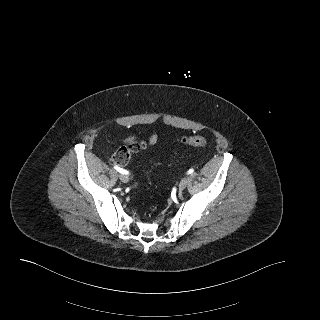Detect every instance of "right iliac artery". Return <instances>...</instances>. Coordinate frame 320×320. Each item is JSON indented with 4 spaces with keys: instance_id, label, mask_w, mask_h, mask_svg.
Segmentation results:
<instances>
[{
    "instance_id": "right-iliac-artery-1",
    "label": "right iliac artery",
    "mask_w": 320,
    "mask_h": 320,
    "mask_svg": "<svg viewBox=\"0 0 320 320\" xmlns=\"http://www.w3.org/2000/svg\"><path fill=\"white\" fill-rule=\"evenodd\" d=\"M114 169H116L121 174H128L127 170H124V169L118 167L117 165H114Z\"/></svg>"
}]
</instances>
